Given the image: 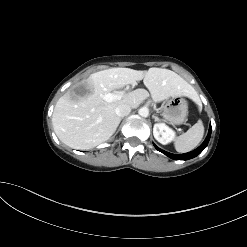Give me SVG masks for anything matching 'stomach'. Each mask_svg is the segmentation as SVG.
<instances>
[{
  "label": "stomach",
  "instance_id": "stomach-1",
  "mask_svg": "<svg viewBox=\"0 0 247 247\" xmlns=\"http://www.w3.org/2000/svg\"><path fill=\"white\" fill-rule=\"evenodd\" d=\"M188 115V103L181 96L167 100L163 107V118L174 125L183 124Z\"/></svg>",
  "mask_w": 247,
  "mask_h": 247
}]
</instances>
